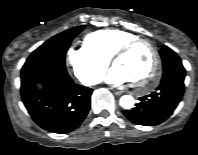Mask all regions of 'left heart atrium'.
Segmentation results:
<instances>
[{
	"label": "left heart atrium",
	"mask_w": 198,
	"mask_h": 155,
	"mask_svg": "<svg viewBox=\"0 0 198 155\" xmlns=\"http://www.w3.org/2000/svg\"><path fill=\"white\" fill-rule=\"evenodd\" d=\"M106 81L113 85H123L132 82L130 77L118 66H114L109 71Z\"/></svg>",
	"instance_id": "39dd6f15"
}]
</instances>
